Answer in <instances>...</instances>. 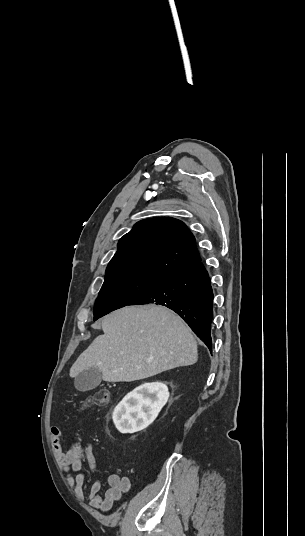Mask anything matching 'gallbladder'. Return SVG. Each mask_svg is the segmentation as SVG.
Instances as JSON below:
<instances>
[{
	"instance_id": "bac80fb5",
	"label": "gallbladder",
	"mask_w": 305,
	"mask_h": 536,
	"mask_svg": "<svg viewBox=\"0 0 305 536\" xmlns=\"http://www.w3.org/2000/svg\"><path fill=\"white\" fill-rule=\"evenodd\" d=\"M102 382V374L99 368H88V370H82L76 378H74V386L79 392H87V390H94Z\"/></svg>"
}]
</instances>
